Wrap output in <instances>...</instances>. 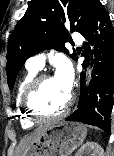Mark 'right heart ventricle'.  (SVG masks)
Segmentation results:
<instances>
[{
    "mask_svg": "<svg viewBox=\"0 0 114 156\" xmlns=\"http://www.w3.org/2000/svg\"><path fill=\"white\" fill-rule=\"evenodd\" d=\"M39 70L27 67L26 72L19 80L15 94L16 114L20 119L22 128L28 129L35 125L37 121L32 120L22 106L23 93L30 81L38 74Z\"/></svg>",
    "mask_w": 114,
    "mask_h": 156,
    "instance_id": "obj_1",
    "label": "right heart ventricle"
}]
</instances>
